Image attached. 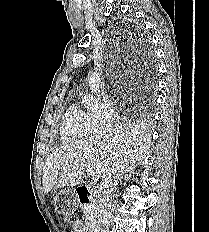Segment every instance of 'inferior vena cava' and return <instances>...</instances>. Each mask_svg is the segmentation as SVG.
Wrapping results in <instances>:
<instances>
[{
    "mask_svg": "<svg viewBox=\"0 0 209 232\" xmlns=\"http://www.w3.org/2000/svg\"><path fill=\"white\" fill-rule=\"evenodd\" d=\"M113 191V177L109 175L102 181L99 188L96 232H110L111 199Z\"/></svg>",
    "mask_w": 209,
    "mask_h": 232,
    "instance_id": "inferior-vena-cava-1",
    "label": "inferior vena cava"
}]
</instances>
